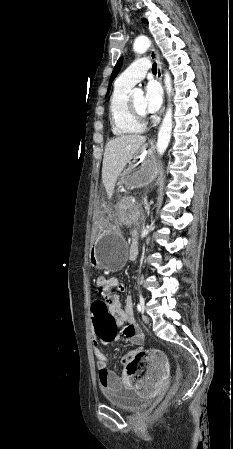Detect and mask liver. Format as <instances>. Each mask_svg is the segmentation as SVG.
<instances>
[{
    "label": "liver",
    "mask_w": 233,
    "mask_h": 449,
    "mask_svg": "<svg viewBox=\"0 0 233 449\" xmlns=\"http://www.w3.org/2000/svg\"><path fill=\"white\" fill-rule=\"evenodd\" d=\"M146 141L142 135H121L110 140L105 147L102 180L108 198L114 193L118 177L136 153Z\"/></svg>",
    "instance_id": "1"
}]
</instances>
